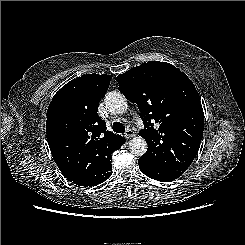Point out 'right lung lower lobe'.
<instances>
[{
    "label": "right lung lower lobe",
    "instance_id": "right-lung-lower-lobe-1",
    "mask_svg": "<svg viewBox=\"0 0 245 245\" xmlns=\"http://www.w3.org/2000/svg\"><path fill=\"white\" fill-rule=\"evenodd\" d=\"M124 144V141L110 148H102L96 150V154L94 155V165L96 172L99 173L101 180L99 183L104 182L112 175V166H111V155L115 150L121 148ZM63 175L72 183L80 185V176L72 165L70 166H58Z\"/></svg>",
    "mask_w": 245,
    "mask_h": 245
}]
</instances>
